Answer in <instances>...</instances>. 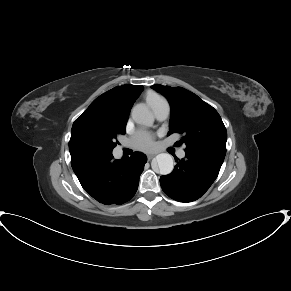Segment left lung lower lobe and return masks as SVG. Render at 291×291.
<instances>
[{
    "instance_id": "0a47b994",
    "label": "left lung lower lobe",
    "mask_w": 291,
    "mask_h": 291,
    "mask_svg": "<svg viewBox=\"0 0 291 291\" xmlns=\"http://www.w3.org/2000/svg\"><path fill=\"white\" fill-rule=\"evenodd\" d=\"M186 158L174 170L161 176L160 184L170 198L179 202H192L200 198L215 181L224 157L185 151Z\"/></svg>"
}]
</instances>
